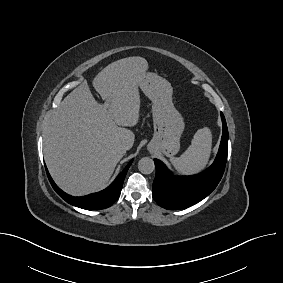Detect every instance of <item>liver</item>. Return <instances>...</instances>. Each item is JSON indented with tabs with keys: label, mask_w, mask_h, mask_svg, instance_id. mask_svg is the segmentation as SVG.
<instances>
[{
	"label": "liver",
	"mask_w": 283,
	"mask_h": 283,
	"mask_svg": "<svg viewBox=\"0 0 283 283\" xmlns=\"http://www.w3.org/2000/svg\"><path fill=\"white\" fill-rule=\"evenodd\" d=\"M148 70L139 56L117 60L93 79L109 106L99 104L87 83L68 94L52 113L44 132V157L57 185L74 196L105 187L117 163L133 146L135 135L125 127L137 124L139 82Z\"/></svg>",
	"instance_id": "liver-1"
}]
</instances>
